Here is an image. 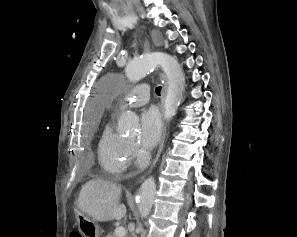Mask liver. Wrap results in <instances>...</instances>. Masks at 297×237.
I'll use <instances>...</instances> for the list:
<instances>
[{
	"instance_id": "obj_1",
	"label": "liver",
	"mask_w": 297,
	"mask_h": 237,
	"mask_svg": "<svg viewBox=\"0 0 297 237\" xmlns=\"http://www.w3.org/2000/svg\"><path fill=\"white\" fill-rule=\"evenodd\" d=\"M121 187L103 180H90L81 189L78 209L98 222L121 220L127 212L120 204Z\"/></svg>"
}]
</instances>
